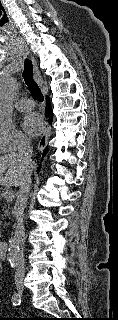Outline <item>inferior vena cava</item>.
Returning a JSON list of instances; mask_svg holds the SVG:
<instances>
[{
	"instance_id": "obj_1",
	"label": "inferior vena cava",
	"mask_w": 118,
	"mask_h": 320,
	"mask_svg": "<svg viewBox=\"0 0 118 320\" xmlns=\"http://www.w3.org/2000/svg\"><path fill=\"white\" fill-rule=\"evenodd\" d=\"M31 142L28 139H21L18 147L17 158L25 166L24 177L20 183V189L13 208V214L16 217L15 237L19 244V257L16 263V271L14 275L15 283L23 281L25 277V259H24V243L25 228L23 221V213L26 207L31 186V165L33 161Z\"/></svg>"
}]
</instances>
